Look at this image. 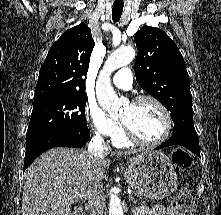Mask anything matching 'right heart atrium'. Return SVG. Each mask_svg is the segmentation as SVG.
<instances>
[{
	"label": "right heart atrium",
	"instance_id": "right-heart-atrium-1",
	"mask_svg": "<svg viewBox=\"0 0 221 215\" xmlns=\"http://www.w3.org/2000/svg\"><path fill=\"white\" fill-rule=\"evenodd\" d=\"M85 118L92 131L98 136L114 138L121 132V124L105 114L96 103H87Z\"/></svg>",
	"mask_w": 221,
	"mask_h": 215
}]
</instances>
